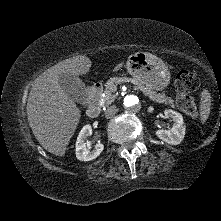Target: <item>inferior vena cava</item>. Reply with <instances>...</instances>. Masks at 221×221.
Returning a JSON list of instances; mask_svg holds the SVG:
<instances>
[{
	"instance_id": "obj_1",
	"label": "inferior vena cava",
	"mask_w": 221,
	"mask_h": 221,
	"mask_svg": "<svg viewBox=\"0 0 221 221\" xmlns=\"http://www.w3.org/2000/svg\"><path fill=\"white\" fill-rule=\"evenodd\" d=\"M116 112H117L116 106H114V105L110 106L105 111V117L107 119L112 118L115 115Z\"/></svg>"
}]
</instances>
